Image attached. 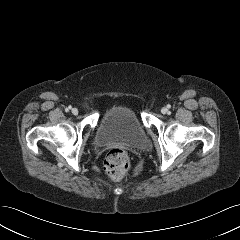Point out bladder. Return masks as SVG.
I'll list each match as a JSON object with an SVG mask.
<instances>
[{"mask_svg":"<svg viewBox=\"0 0 240 240\" xmlns=\"http://www.w3.org/2000/svg\"><path fill=\"white\" fill-rule=\"evenodd\" d=\"M95 139L100 145L121 143L143 147L147 142V134L135 111L131 107L118 105L106 111Z\"/></svg>","mask_w":240,"mask_h":240,"instance_id":"1","label":"bladder"}]
</instances>
